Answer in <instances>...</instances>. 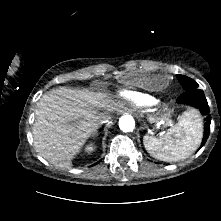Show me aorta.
Wrapping results in <instances>:
<instances>
[{
  "label": "aorta",
  "mask_w": 221,
  "mask_h": 221,
  "mask_svg": "<svg viewBox=\"0 0 221 221\" xmlns=\"http://www.w3.org/2000/svg\"><path fill=\"white\" fill-rule=\"evenodd\" d=\"M119 128L123 132H132L135 129V120L131 115H123L119 119Z\"/></svg>",
  "instance_id": "762f6f07"
}]
</instances>
